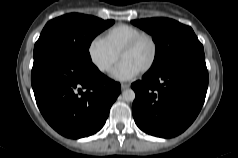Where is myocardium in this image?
<instances>
[{
  "label": "myocardium",
  "mask_w": 238,
  "mask_h": 158,
  "mask_svg": "<svg viewBox=\"0 0 238 158\" xmlns=\"http://www.w3.org/2000/svg\"><path fill=\"white\" fill-rule=\"evenodd\" d=\"M147 39L150 41L152 45V56L150 61L146 66H144L139 72L145 73L148 72L156 63L158 57V44L155 38L149 33H141L135 37H133L130 41H128L124 47L121 49L119 56L122 59L123 55L128 51L135 48L142 40Z\"/></svg>",
  "instance_id": "myocardium-1"
}]
</instances>
